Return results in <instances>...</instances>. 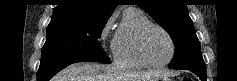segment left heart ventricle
Listing matches in <instances>:
<instances>
[{
	"label": "left heart ventricle",
	"mask_w": 237,
	"mask_h": 81,
	"mask_svg": "<svg viewBox=\"0 0 237 81\" xmlns=\"http://www.w3.org/2000/svg\"><path fill=\"white\" fill-rule=\"evenodd\" d=\"M148 59L155 63L166 61L171 54V44L167 36L158 29H151L144 42Z\"/></svg>",
	"instance_id": "b2bd125f"
}]
</instances>
